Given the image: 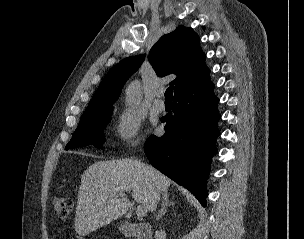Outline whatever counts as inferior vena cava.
<instances>
[{"instance_id":"602c4592","label":"inferior vena cava","mask_w":304,"mask_h":239,"mask_svg":"<svg viewBox=\"0 0 304 239\" xmlns=\"http://www.w3.org/2000/svg\"><path fill=\"white\" fill-rule=\"evenodd\" d=\"M158 199H159V193L155 192L154 196H153V200H152V206H153L154 209L157 206Z\"/></svg>"}]
</instances>
